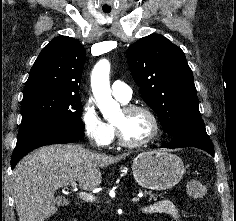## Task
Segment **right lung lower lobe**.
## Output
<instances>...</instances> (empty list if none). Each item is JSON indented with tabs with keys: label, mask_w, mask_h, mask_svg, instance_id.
<instances>
[{
	"label": "right lung lower lobe",
	"mask_w": 236,
	"mask_h": 221,
	"mask_svg": "<svg viewBox=\"0 0 236 221\" xmlns=\"http://www.w3.org/2000/svg\"><path fill=\"white\" fill-rule=\"evenodd\" d=\"M84 136L83 130H74L62 125L36 123L20 128L17 144L11 158V168L30 151L49 144L72 143Z\"/></svg>",
	"instance_id": "right-lung-lower-lobe-1"
}]
</instances>
